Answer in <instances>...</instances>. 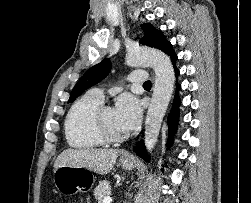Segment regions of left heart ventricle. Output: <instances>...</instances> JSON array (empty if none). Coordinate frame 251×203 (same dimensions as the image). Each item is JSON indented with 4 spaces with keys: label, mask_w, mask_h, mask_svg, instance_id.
Returning a JSON list of instances; mask_svg holds the SVG:
<instances>
[{
    "label": "left heart ventricle",
    "mask_w": 251,
    "mask_h": 203,
    "mask_svg": "<svg viewBox=\"0 0 251 203\" xmlns=\"http://www.w3.org/2000/svg\"><path fill=\"white\" fill-rule=\"evenodd\" d=\"M104 120L108 128L116 134H124L116 122L115 110L113 108L107 107L104 110Z\"/></svg>",
    "instance_id": "left-heart-ventricle-1"
}]
</instances>
